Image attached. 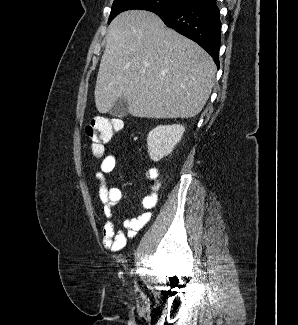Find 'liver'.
I'll return each instance as SVG.
<instances>
[{
    "label": "liver",
    "mask_w": 298,
    "mask_h": 325,
    "mask_svg": "<svg viewBox=\"0 0 298 325\" xmlns=\"http://www.w3.org/2000/svg\"><path fill=\"white\" fill-rule=\"evenodd\" d=\"M215 72L212 56L157 14L125 10L108 26L96 108L105 114L123 96L132 116L191 118L206 104Z\"/></svg>",
    "instance_id": "obj_1"
}]
</instances>
